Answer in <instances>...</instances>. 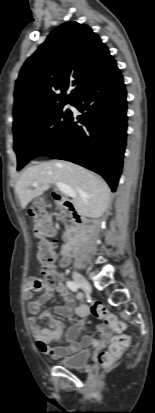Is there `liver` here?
<instances>
[{
    "label": "liver",
    "mask_w": 155,
    "mask_h": 413,
    "mask_svg": "<svg viewBox=\"0 0 155 413\" xmlns=\"http://www.w3.org/2000/svg\"><path fill=\"white\" fill-rule=\"evenodd\" d=\"M62 182L70 186L76 196L73 204L85 217L99 218L110 204V188L93 172L69 161L52 160L27 168L16 183L15 192L24 209L35 197L51 185Z\"/></svg>",
    "instance_id": "1"
}]
</instances>
